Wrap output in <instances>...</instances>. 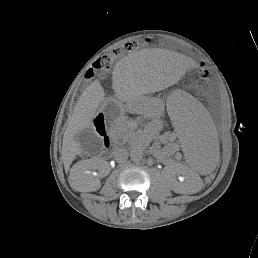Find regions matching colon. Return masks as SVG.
<instances>
[{"mask_svg":"<svg viewBox=\"0 0 258 258\" xmlns=\"http://www.w3.org/2000/svg\"><path fill=\"white\" fill-rule=\"evenodd\" d=\"M139 43L137 41H131L126 44H124L122 47L117 48L113 50L110 54H104L100 56L92 65V67L87 71L88 77H98L103 76L105 73H107L111 66L114 58L118 56L120 53L124 51H129L137 48ZM199 73L202 77H207L209 75L208 68L205 66H202L199 70Z\"/></svg>","mask_w":258,"mask_h":258,"instance_id":"5ec220e1","label":"colon"}]
</instances>
